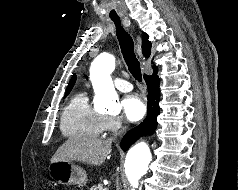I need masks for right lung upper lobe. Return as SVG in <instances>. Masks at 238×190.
<instances>
[{"instance_id":"cb5924a9","label":"right lung upper lobe","mask_w":238,"mask_h":190,"mask_svg":"<svg viewBox=\"0 0 238 190\" xmlns=\"http://www.w3.org/2000/svg\"><path fill=\"white\" fill-rule=\"evenodd\" d=\"M142 52L145 57H149L151 53V42L148 40V35L146 33H143L142 38ZM157 70V68L154 66V71ZM75 83V75L72 76L66 92H70L74 86Z\"/></svg>"}]
</instances>
